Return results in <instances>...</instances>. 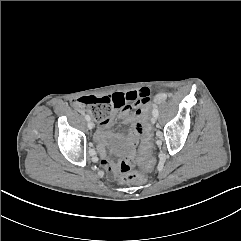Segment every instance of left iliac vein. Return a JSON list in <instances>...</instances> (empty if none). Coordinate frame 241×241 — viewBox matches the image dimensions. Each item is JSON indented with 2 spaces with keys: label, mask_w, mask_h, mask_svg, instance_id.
I'll list each match as a JSON object with an SVG mask.
<instances>
[{
  "label": "left iliac vein",
  "mask_w": 241,
  "mask_h": 241,
  "mask_svg": "<svg viewBox=\"0 0 241 241\" xmlns=\"http://www.w3.org/2000/svg\"><path fill=\"white\" fill-rule=\"evenodd\" d=\"M151 122H152L153 124L156 123V117H155V116H153V117L151 118Z\"/></svg>",
  "instance_id": "obj_1"
}]
</instances>
